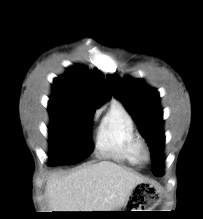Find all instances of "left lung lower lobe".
I'll use <instances>...</instances> for the list:
<instances>
[{
    "instance_id": "1",
    "label": "left lung lower lobe",
    "mask_w": 203,
    "mask_h": 219,
    "mask_svg": "<svg viewBox=\"0 0 203 219\" xmlns=\"http://www.w3.org/2000/svg\"><path fill=\"white\" fill-rule=\"evenodd\" d=\"M162 175H163V172L159 173V175H158V176H162Z\"/></svg>"
}]
</instances>
